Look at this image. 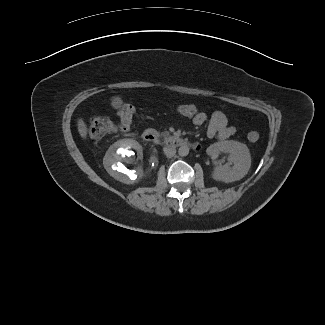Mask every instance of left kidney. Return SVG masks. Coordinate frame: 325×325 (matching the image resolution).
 I'll return each mask as SVG.
<instances>
[{
	"label": "left kidney",
	"mask_w": 325,
	"mask_h": 325,
	"mask_svg": "<svg viewBox=\"0 0 325 325\" xmlns=\"http://www.w3.org/2000/svg\"><path fill=\"white\" fill-rule=\"evenodd\" d=\"M228 153V161L233 164L218 166L212 173V178L225 183L234 182L245 177L251 166V156L248 147L233 140L220 141L207 148V154L216 156Z\"/></svg>",
	"instance_id": "left-kidney-1"
}]
</instances>
